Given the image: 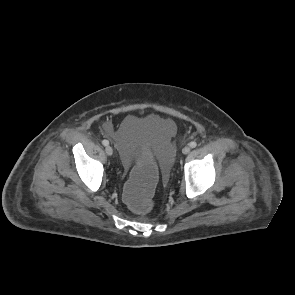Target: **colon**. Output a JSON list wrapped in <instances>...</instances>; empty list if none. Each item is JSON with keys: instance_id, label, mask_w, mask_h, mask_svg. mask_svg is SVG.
Instances as JSON below:
<instances>
[{"instance_id": "obj_1", "label": "colon", "mask_w": 295, "mask_h": 295, "mask_svg": "<svg viewBox=\"0 0 295 295\" xmlns=\"http://www.w3.org/2000/svg\"><path fill=\"white\" fill-rule=\"evenodd\" d=\"M157 166L151 160H140L134 166L123 190L129 210L142 217L153 215L157 202L153 195L157 191Z\"/></svg>"}]
</instances>
